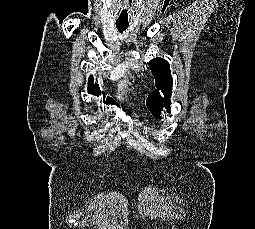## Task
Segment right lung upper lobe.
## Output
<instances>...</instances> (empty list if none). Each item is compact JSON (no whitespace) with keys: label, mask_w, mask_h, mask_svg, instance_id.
<instances>
[{"label":"right lung upper lobe","mask_w":255,"mask_h":229,"mask_svg":"<svg viewBox=\"0 0 255 229\" xmlns=\"http://www.w3.org/2000/svg\"><path fill=\"white\" fill-rule=\"evenodd\" d=\"M88 80H89L88 92L90 94L99 96L101 94V91H100V88L96 84H93V77L90 76ZM104 100H105V98H104ZM103 103L114 104L115 102L111 98H107L106 101H103Z\"/></svg>","instance_id":"1"}]
</instances>
